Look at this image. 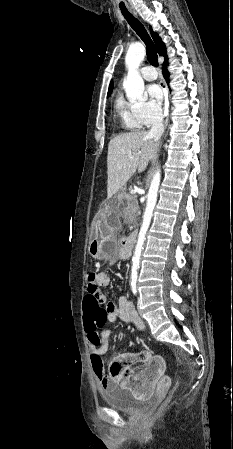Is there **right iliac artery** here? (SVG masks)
<instances>
[{
	"label": "right iliac artery",
	"instance_id": "82829eb1",
	"mask_svg": "<svg viewBox=\"0 0 233 449\" xmlns=\"http://www.w3.org/2000/svg\"><path fill=\"white\" fill-rule=\"evenodd\" d=\"M132 292H133L134 295L137 294V288H136V286H132Z\"/></svg>",
	"mask_w": 233,
	"mask_h": 449
}]
</instances>
